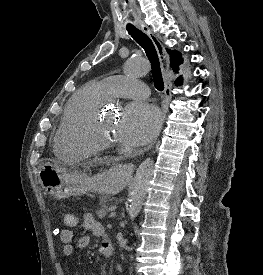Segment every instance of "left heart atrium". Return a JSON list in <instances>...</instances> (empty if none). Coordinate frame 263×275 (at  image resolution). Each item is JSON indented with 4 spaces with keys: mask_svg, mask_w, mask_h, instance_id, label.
<instances>
[{
    "mask_svg": "<svg viewBox=\"0 0 263 275\" xmlns=\"http://www.w3.org/2000/svg\"><path fill=\"white\" fill-rule=\"evenodd\" d=\"M162 117L159 109L143 101L130 103L123 111L117 125L121 142L138 146L149 142L159 131Z\"/></svg>",
    "mask_w": 263,
    "mask_h": 275,
    "instance_id": "39dd6f15",
    "label": "left heart atrium"
}]
</instances>
